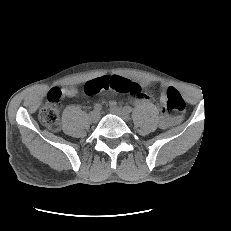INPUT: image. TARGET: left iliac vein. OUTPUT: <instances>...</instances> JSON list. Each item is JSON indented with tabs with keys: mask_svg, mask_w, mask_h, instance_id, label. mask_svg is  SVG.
<instances>
[{
	"mask_svg": "<svg viewBox=\"0 0 231 231\" xmlns=\"http://www.w3.org/2000/svg\"><path fill=\"white\" fill-rule=\"evenodd\" d=\"M110 112L119 116L120 118H122L125 121H128L130 119V115L128 114V112H126L124 109L116 107V106H112L110 108Z\"/></svg>",
	"mask_w": 231,
	"mask_h": 231,
	"instance_id": "left-iliac-vein-1",
	"label": "left iliac vein"
}]
</instances>
